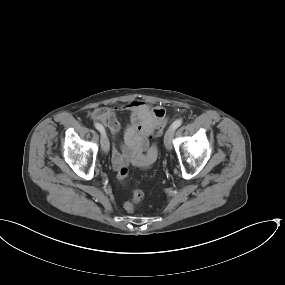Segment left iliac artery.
Listing matches in <instances>:
<instances>
[{
  "instance_id": "obj_1",
  "label": "left iliac artery",
  "mask_w": 285,
  "mask_h": 285,
  "mask_svg": "<svg viewBox=\"0 0 285 285\" xmlns=\"http://www.w3.org/2000/svg\"><path fill=\"white\" fill-rule=\"evenodd\" d=\"M182 123H183L182 119H177L172 123L171 128L177 129L178 127L182 125Z\"/></svg>"
}]
</instances>
